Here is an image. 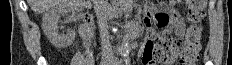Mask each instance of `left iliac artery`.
I'll use <instances>...</instances> for the list:
<instances>
[{
    "label": "left iliac artery",
    "instance_id": "1",
    "mask_svg": "<svg viewBox=\"0 0 232 65\" xmlns=\"http://www.w3.org/2000/svg\"><path fill=\"white\" fill-rule=\"evenodd\" d=\"M125 62H126V65H130V59L128 57L125 59Z\"/></svg>",
    "mask_w": 232,
    "mask_h": 65
}]
</instances>
